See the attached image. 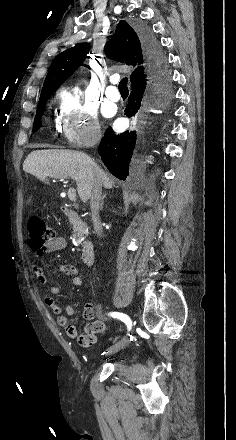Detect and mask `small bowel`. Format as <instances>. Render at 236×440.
<instances>
[{
	"mask_svg": "<svg viewBox=\"0 0 236 440\" xmlns=\"http://www.w3.org/2000/svg\"><path fill=\"white\" fill-rule=\"evenodd\" d=\"M67 241L62 236L54 237L50 242L45 244L41 249L35 250L36 256L41 257L45 254L58 252L65 249ZM60 271L64 275L71 276V284L73 286H81L83 284V277L80 274L78 268L71 264L62 265ZM33 273L36 278L43 284L48 283V278L45 270L39 266H33ZM60 292V288L57 285L49 284L48 293L49 295H56ZM45 297V305L56 315L57 323L59 326L65 328L67 336L69 338H75L78 336L77 329L74 325L70 324L69 316L74 313V307L72 305L66 306V314H63L61 306L54 301L50 296ZM83 316L86 319H92L94 316V306L91 302H87L83 308ZM105 324L102 321H93L86 327L85 333L78 336V341L83 346L92 345L96 340V334L99 333Z\"/></svg>",
	"mask_w": 236,
	"mask_h": 440,
	"instance_id": "small-bowel-1",
	"label": "small bowel"
}]
</instances>
